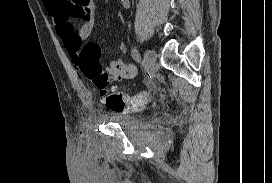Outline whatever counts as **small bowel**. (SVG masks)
<instances>
[{
	"label": "small bowel",
	"instance_id": "obj_1",
	"mask_svg": "<svg viewBox=\"0 0 272 183\" xmlns=\"http://www.w3.org/2000/svg\"><path fill=\"white\" fill-rule=\"evenodd\" d=\"M127 6V0H121ZM46 11L52 16L56 24L58 36L62 39L71 58L77 64L82 44L91 35L95 25L96 6L93 0H43ZM74 22H80L78 30ZM119 50L126 51L123 43ZM109 77L114 81H124L135 75V67L122 60L109 62L106 67Z\"/></svg>",
	"mask_w": 272,
	"mask_h": 183
}]
</instances>
